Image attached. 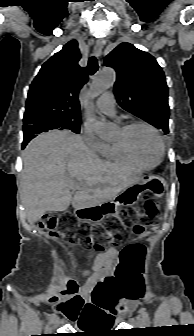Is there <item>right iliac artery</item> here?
I'll list each match as a JSON object with an SVG mask.
<instances>
[{"mask_svg": "<svg viewBox=\"0 0 194 336\" xmlns=\"http://www.w3.org/2000/svg\"><path fill=\"white\" fill-rule=\"evenodd\" d=\"M55 317H56V315H55V314H52V315L50 316V322H53V320L55 319Z\"/></svg>", "mask_w": 194, "mask_h": 336, "instance_id": "1", "label": "right iliac artery"}]
</instances>
